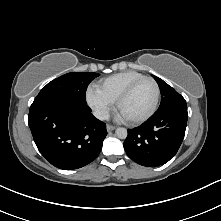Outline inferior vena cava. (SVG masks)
<instances>
[{"label": "inferior vena cava", "instance_id": "obj_1", "mask_svg": "<svg viewBox=\"0 0 221 221\" xmlns=\"http://www.w3.org/2000/svg\"><path fill=\"white\" fill-rule=\"evenodd\" d=\"M93 115L99 120H107L110 117L109 112L106 109L101 108L95 109Z\"/></svg>", "mask_w": 221, "mask_h": 221}]
</instances>
